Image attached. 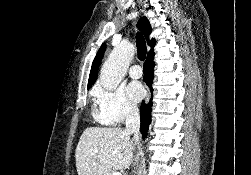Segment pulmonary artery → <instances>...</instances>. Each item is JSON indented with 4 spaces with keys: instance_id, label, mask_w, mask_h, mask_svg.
Listing matches in <instances>:
<instances>
[{
    "instance_id": "e3ab8cb5",
    "label": "pulmonary artery",
    "mask_w": 251,
    "mask_h": 175,
    "mask_svg": "<svg viewBox=\"0 0 251 175\" xmlns=\"http://www.w3.org/2000/svg\"><path fill=\"white\" fill-rule=\"evenodd\" d=\"M142 74L143 70L139 67V65L134 64L129 68V75L133 78L141 77Z\"/></svg>"
}]
</instances>
